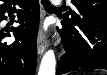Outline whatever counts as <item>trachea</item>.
I'll list each match as a JSON object with an SVG mask.
<instances>
[{
    "label": "trachea",
    "instance_id": "3493384b",
    "mask_svg": "<svg viewBox=\"0 0 107 75\" xmlns=\"http://www.w3.org/2000/svg\"><path fill=\"white\" fill-rule=\"evenodd\" d=\"M42 4L45 8H48V9H59L54 5H52L48 0H42Z\"/></svg>",
    "mask_w": 107,
    "mask_h": 75
}]
</instances>
